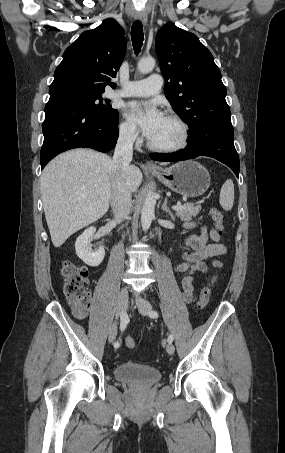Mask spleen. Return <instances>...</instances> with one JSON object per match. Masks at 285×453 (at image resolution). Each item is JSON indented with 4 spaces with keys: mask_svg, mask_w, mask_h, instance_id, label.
<instances>
[{
    "mask_svg": "<svg viewBox=\"0 0 285 453\" xmlns=\"http://www.w3.org/2000/svg\"><path fill=\"white\" fill-rule=\"evenodd\" d=\"M219 203L225 211H229L234 203V184L231 179H227L220 190Z\"/></svg>",
    "mask_w": 285,
    "mask_h": 453,
    "instance_id": "spleen-1",
    "label": "spleen"
}]
</instances>
